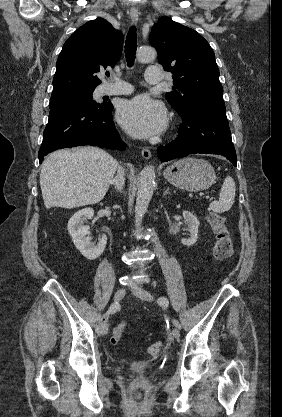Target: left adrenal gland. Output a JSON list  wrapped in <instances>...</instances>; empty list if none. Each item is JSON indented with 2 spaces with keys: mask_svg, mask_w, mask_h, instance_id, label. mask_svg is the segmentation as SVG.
<instances>
[{
  "mask_svg": "<svg viewBox=\"0 0 282 417\" xmlns=\"http://www.w3.org/2000/svg\"><path fill=\"white\" fill-rule=\"evenodd\" d=\"M168 192H169V186H167L166 190H164L163 196H165V194H168Z\"/></svg>",
  "mask_w": 282,
  "mask_h": 417,
  "instance_id": "left-adrenal-gland-1",
  "label": "left adrenal gland"
}]
</instances>
